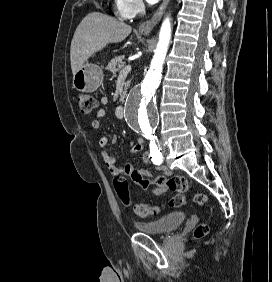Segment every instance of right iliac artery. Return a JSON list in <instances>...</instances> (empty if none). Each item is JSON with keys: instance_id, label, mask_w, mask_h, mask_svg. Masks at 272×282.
Returning a JSON list of instances; mask_svg holds the SVG:
<instances>
[{"instance_id": "82829eb1", "label": "right iliac artery", "mask_w": 272, "mask_h": 282, "mask_svg": "<svg viewBox=\"0 0 272 282\" xmlns=\"http://www.w3.org/2000/svg\"><path fill=\"white\" fill-rule=\"evenodd\" d=\"M150 156L152 157V161L156 165H160L163 161L162 153L159 149V143L158 142H151L150 143Z\"/></svg>"}]
</instances>
